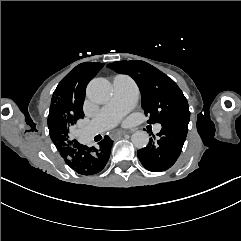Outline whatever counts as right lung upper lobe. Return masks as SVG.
I'll return each mask as SVG.
<instances>
[{"label":"right lung upper lobe","mask_w":241,"mask_h":241,"mask_svg":"<svg viewBox=\"0 0 241 241\" xmlns=\"http://www.w3.org/2000/svg\"><path fill=\"white\" fill-rule=\"evenodd\" d=\"M76 122H69L61 117L49 114L48 128L52 142L57 149L72 144L70 130Z\"/></svg>","instance_id":"right-lung-upper-lobe-1"}]
</instances>
